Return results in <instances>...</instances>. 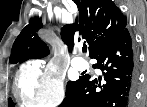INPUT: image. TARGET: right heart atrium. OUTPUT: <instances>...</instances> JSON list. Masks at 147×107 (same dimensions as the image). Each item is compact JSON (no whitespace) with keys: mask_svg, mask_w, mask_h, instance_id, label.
I'll return each mask as SVG.
<instances>
[{"mask_svg":"<svg viewBox=\"0 0 147 107\" xmlns=\"http://www.w3.org/2000/svg\"><path fill=\"white\" fill-rule=\"evenodd\" d=\"M16 96L28 106H56L65 97L63 76L53 65L30 62L17 76Z\"/></svg>","mask_w":147,"mask_h":107,"instance_id":"1","label":"right heart atrium"}]
</instances>
